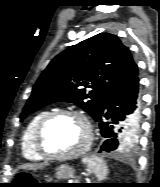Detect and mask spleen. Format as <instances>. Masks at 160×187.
I'll use <instances>...</instances> for the list:
<instances>
[{"label": "spleen", "mask_w": 160, "mask_h": 187, "mask_svg": "<svg viewBox=\"0 0 160 187\" xmlns=\"http://www.w3.org/2000/svg\"><path fill=\"white\" fill-rule=\"evenodd\" d=\"M83 163L95 174L98 180L106 178L108 170L105 161L98 157H87L84 158Z\"/></svg>", "instance_id": "3e777b00"}]
</instances>
